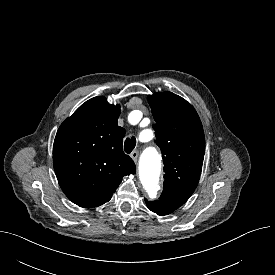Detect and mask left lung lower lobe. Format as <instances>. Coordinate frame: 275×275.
<instances>
[{"mask_svg": "<svg viewBox=\"0 0 275 275\" xmlns=\"http://www.w3.org/2000/svg\"><path fill=\"white\" fill-rule=\"evenodd\" d=\"M188 199L186 198H165L160 197L159 200L149 202L145 199L147 207L160 216L168 215L183 205Z\"/></svg>", "mask_w": 275, "mask_h": 275, "instance_id": "1", "label": "left lung lower lobe"}]
</instances>
